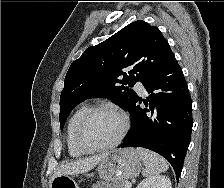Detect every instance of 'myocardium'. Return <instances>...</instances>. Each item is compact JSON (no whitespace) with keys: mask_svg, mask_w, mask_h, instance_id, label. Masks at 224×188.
Here are the masks:
<instances>
[{"mask_svg":"<svg viewBox=\"0 0 224 188\" xmlns=\"http://www.w3.org/2000/svg\"><path fill=\"white\" fill-rule=\"evenodd\" d=\"M100 111H108L118 115L122 121V128L119 135L112 142L101 146H91L84 141L83 130L86 123L91 118V116ZM129 127H130L129 117L123 110L110 104H99L90 107L80 118L75 130V141L78 147L85 152H99L108 150L116 147L121 143V141L126 136Z\"/></svg>","mask_w":224,"mask_h":188,"instance_id":"f54148a6","label":"myocardium"}]
</instances>
